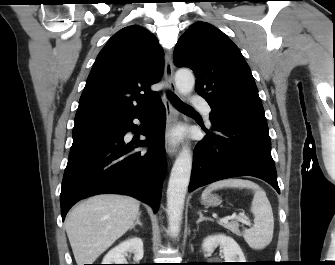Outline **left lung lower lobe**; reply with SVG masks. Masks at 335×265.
<instances>
[{"label": "left lung lower lobe", "instance_id": "1", "mask_svg": "<svg viewBox=\"0 0 335 265\" xmlns=\"http://www.w3.org/2000/svg\"><path fill=\"white\" fill-rule=\"evenodd\" d=\"M210 120L214 132L205 130L206 137L194 149L188 190L226 178L254 176L280 193L269 135L212 113Z\"/></svg>", "mask_w": 335, "mask_h": 265}]
</instances>
